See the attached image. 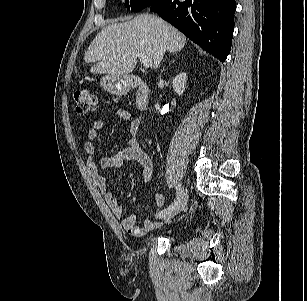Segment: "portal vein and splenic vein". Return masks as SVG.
<instances>
[{"label":"portal vein and splenic vein","mask_w":307,"mask_h":301,"mask_svg":"<svg viewBox=\"0 0 307 301\" xmlns=\"http://www.w3.org/2000/svg\"><path fill=\"white\" fill-rule=\"evenodd\" d=\"M137 56L140 58L141 62L143 63V66L145 68L152 67L153 61H152L151 57H149L148 55H145L143 53H138Z\"/></svg>","instance_id":"1"}]
</instances>
